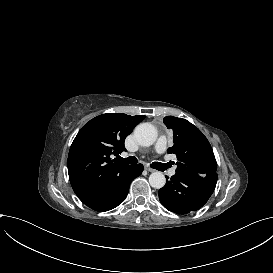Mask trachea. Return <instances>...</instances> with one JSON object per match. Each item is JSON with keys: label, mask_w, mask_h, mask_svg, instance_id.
<instances>
[{"label": "trachea", "mask_w": 273, "mask_h": 273, "mask_svg": "<svg viewBox=\"0 0 273 273\" xmlns=\"http://www.w3.org/2000/svg\"><path fill=\"white\" fill-rule=\"evenodd\" d=\"M119 160L121 162L127 163V164H131V165H135L137 163V158L134 156H130L128 158H121L119 157ZM150 167L157 169L159 171H164L166 168L164 166V164L159 163V162H153Z\"/></svg>", "instance_id": "trachea-1"}]
</instances>
